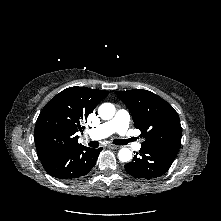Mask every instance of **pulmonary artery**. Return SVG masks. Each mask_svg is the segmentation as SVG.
<instances>
[{
    "label": "pulmonary artery",
    "instance_id": "1",
    "mask_svg": "<svg viewBox=\"0 0 221 221\" xmlns=\"http://www.w3.org/2000/svg\"><path fill=\"white\" fill-rule=\"evenodd\" d=\"M129 121V113L126 110H119L111 120L106 121L93 129H90L87 132V135L93 140H99L106 138L113 133H118L129 142L131 141L128 132ZM132 146L136 150L141 148L139 143L132 144Z\"/></svg>",
    "mask_w": 221,
    "mask_h": 221
}]
</instances>
